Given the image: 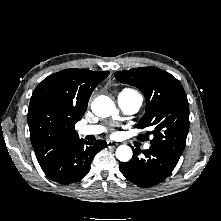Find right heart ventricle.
<instances>
[{"instance_id":"right-heart-ventricle-1","label":"right heart ventricle","mask_w":221,"mask_h":221,"mask_svg":"<svg viewBox=\"0 0 221 221\" xmlns=\"http://www.w3.org/2000/svg\"><path fill=\"white\" fill-rule=\"evenodd\" d=\"M123 92H128V93H136V92H134L133 90H131V89H125Z\"/></svg>"}]
</instances>
